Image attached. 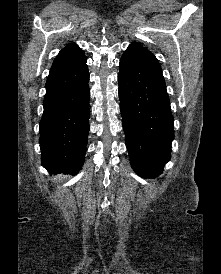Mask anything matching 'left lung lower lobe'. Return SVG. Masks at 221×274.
Wrapping results in <instances>:
<instances>
[{"label":"left lung lower lobe","mask_w":221,"mask_h":274,"mask_svg":"<svg viewBox=\"0 0 221 274\" xmlns=\"http://www.w3.org/2000/svg\"><path fill=\"white\" fill-rule=\"evenodd\" d=\"M119 98L126 147L133 170L155 178L171 158L173 116L157 58L130 44L120 59Z\"/></svg>","instance_id":"0a47b994"}]
</instances>
